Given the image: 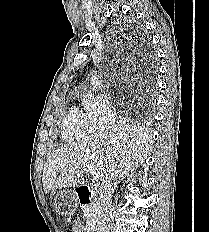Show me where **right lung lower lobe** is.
I'll return each mask as SVG.
<instances>
[{
	"mask_svg": "<svg viewBox=\"0 0 209 232\" xmlns=\"http://www.w3.org/2000/svg\"><path fill=\"white\" fill-rule=\"evenodd\" d=\"M141 58L143 59V61H145V64L147 66V72H146V76H147V80L151 77V71H152V67L155 64V55L154 52L152 51V49L149 46H145L142 50H141Z\"/></svg>",
	"mask_w": 209,
	"mask_h": 232,
	"instance_id": "obj_1",
	"label": "right lung lower lobe"
}]
</instances>
